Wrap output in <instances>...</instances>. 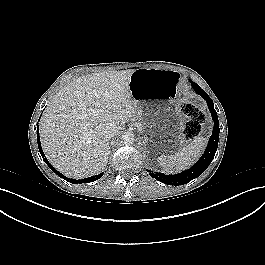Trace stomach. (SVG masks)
I'll return each mask as SVG.
<instances>
[{"instance_id":"stomach-1","label":"stomach","mask_w":265,"mask_h":265,"mask_svg":"<svg viewBox=\"0 0 265 265\" xmlns=\"http://www.w3.org/2000/svg\"><path fill=\"white\" fill-rule=\"evenodd\" d=\"M179 79L177 72L160 69H137L130 77L129 89L142 133L139 146L151 164L166 163L183 140L179 110L172 104Z\"/></svg>"}]
</instances>
